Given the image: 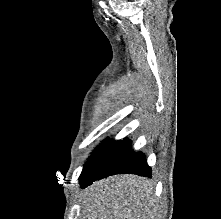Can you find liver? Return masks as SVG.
<instances>
[{"mask_svg":"<svg viewBox=\"0 0 221 219\" xmlns=\"http://www.w3.org/2000/svg\"><path fill=\"white\" fill-rule=\"evenodd\" d=\"M81 219H157L154 186L132 174L96 181L80 198Z\"/></svg>","mask_w":221,"mask_h":219,"instance_id":"6515ba94","label":"liver"}]
</instances>
